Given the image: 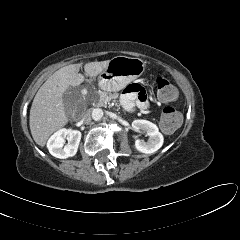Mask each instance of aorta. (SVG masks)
<instances>
[{"instance_id":"762f6f07","label":"aorta","mask_w":240,"mask_h":240,"mask_svg":"<svg viewBox=\"0 0 240 240\" xmlns=\"http://www.w3.org/2000/svg\"><path fill=\"white\" fill-rule=\"evenodd\" d=\"M103 117V110L100 108H95L92 110V118L95 121H99Z\"/></svg>"}]
</instances>
